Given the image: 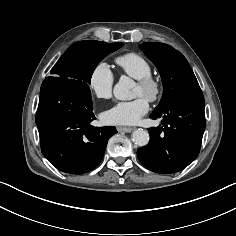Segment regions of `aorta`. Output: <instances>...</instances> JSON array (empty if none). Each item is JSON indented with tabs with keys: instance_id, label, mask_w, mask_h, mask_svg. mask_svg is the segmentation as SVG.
Segmentation results:
<instances>
[{
	"instance_id": "aorta-1",
	"label": "aorta",
	"mask_w": 236,
	"mask_h": 236,
	"mask_svg": "<svg viewBox=\"0 0 236 236\" xmlns=\"http://www.w3.org/2000/svg\"><path fill=\"white\" fill-rule=\"evenodd\" d=\"M134 87L135 82L129 77L123 76L115 84L113 94L119 100H132L135 98V94L133 93ZM132 138L138 146H146L149 142V133L144 129H136L132 133Z\"/></svg>"
}]
</instances>
